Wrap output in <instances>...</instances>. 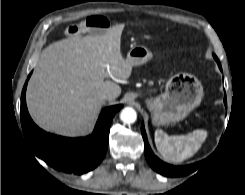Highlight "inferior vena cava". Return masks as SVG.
<instances>
[{
    "mask_svg": "<svg viewBox=\"0 0 245 195\" xmlns=\"http://www.w3.org/2000/svg\"><path fill=\"white\" fill-rule=\"evenodd\" d=\"M112 98L110 93H104L101 95L102 100H110Z\"/></svg>",
    "mask_w": 245,
    "mask_h": 195,
    "instance_id": "1",
    "label": "inferior vena cava"
}]
</instances>
